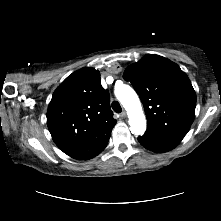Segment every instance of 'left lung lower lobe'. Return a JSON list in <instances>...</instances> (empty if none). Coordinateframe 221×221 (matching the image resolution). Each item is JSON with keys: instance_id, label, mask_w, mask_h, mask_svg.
<instances>
[{"instance_id": "1", "label": "left lung lower lobe", "mask_w": 221, "mask_h": 221, "mask_svg": "<svg viewBox=\"0 0 221 221\" xmlns=\"http://www.w3.org/2000/svg\"><path fill=\"white\" fill-rule=\"evenodd\" d=\"M185 135L186 133L182 132L157 130L148 127L145 134L138 138V141L145 148L161 153L175 148Z\"/></svg>"}]
</instances>
